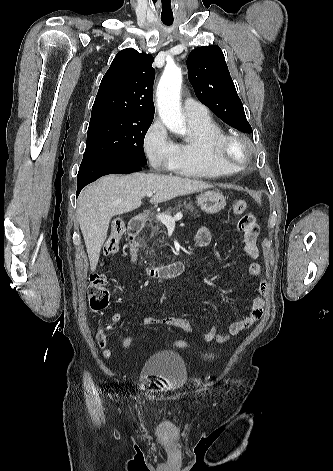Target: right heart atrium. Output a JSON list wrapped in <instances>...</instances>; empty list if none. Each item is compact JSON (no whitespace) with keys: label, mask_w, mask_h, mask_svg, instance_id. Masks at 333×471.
Listing matches in <instances>:
<instances>
[{"label":"right heart atrium","mask_w":333,"mask_h":471,"mask_svg":"<svg viewBox=\"0 0 333 471\" xmlns=\"http://www.w3.org/2000/svg\"><path fill=\"white\" fill-rule=\"evenodd\" d=\"M143 148L154 168L166 169L170 167L174 158L176 143L163 123L156 119L144 134Z\"/></svg>","instance_id":"right-heart-atrium-1"}]
</instances>
